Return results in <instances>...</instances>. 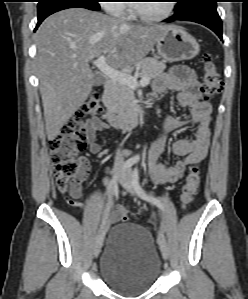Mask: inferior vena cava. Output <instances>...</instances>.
Listing matches in <instances>:
<instances>
[{"label": "inferior vena cava", "instance_id": "1", "mask_svg": "<svg viewBox=\"0 0 248 299\" xmlns=\"http://www.w3.org/2000/svg\"><path fill=\"white\" fill-rule=\"evenodd\" d=\"M124 163V157L121 150H118L115 156V167L119 168Z\"/></svg>", "mask_w": 248, "mask_h": 299}]
</instances>
